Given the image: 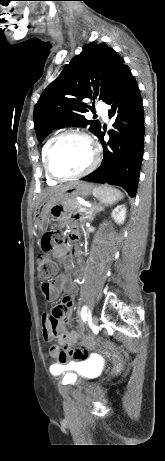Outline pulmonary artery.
Segmentation results:
<instances>
[{"instance_id": "obj_1", "label": "pulmonary artery", "mask_w": 165, "mask_h": 461, "mask_svg": "<svg viewBox=\"0 0 165 461\" xmlns=\"http://www.w3.org/2000/svg\"><path fill=\"white\" fill-rule=\"evenodd\" d=\"M96 110L105 119L107 118V107L105 105H103L102 103L97 104Z\"/></svg>"}]
</instances>
